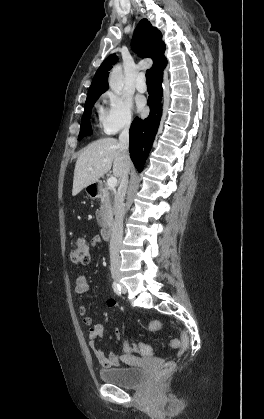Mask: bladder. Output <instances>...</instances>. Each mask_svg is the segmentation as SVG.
<instances>
[{"instance_id": "1", "label": "bladder", "mask_w": 264, "mask_h": 419, "mask_svg": "<svg viewBox=\"0 0 264 419\" xmlns=\"http://www.w3.org/2000/svg\"><path fill=\"white\" fill-rule=\"evenodd\" d=\"M101 380L122 388L138 386L145 376V370L140 366H125L102 369L99 372Z\"/></svg>"}]
</instances>
